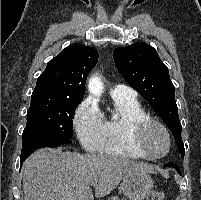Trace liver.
<instances>
[{"label": "liver", "mask_w": 201, "mask_h": 200, "mask_svg": "<svg viewBox=\"0 0 201 200\" xmlns=\"http://www.w3.org/2000/svg\"><path fill=\"white\" fill-rule=\"evenodd\" d=\"M152 166L101 154L40 149L23 165L24 200H94L110 194L132 173H153Z\"/></svg>", "instance_id": "liver-1"}]
</instances>
